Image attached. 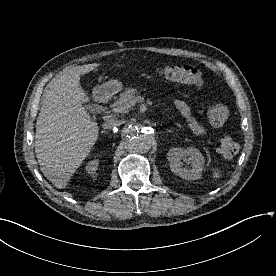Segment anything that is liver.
Here are the masks:
<instances>
[{
	"instance_id": "1",
	"label": "liver",
	"mask_w": 276,
	"mask_h": 276,
	"mask_svg": "<svg viewBox=\"0 0 276 276\" xmlns=\"http://www.w3.org/2000/svg\"><path fill=\"white\" fill-rule=\"evenodd\" d=\"M99 65L67 68L43 94L36 121L35 153L41 172L60 189L68 185L98 138V125L82 106L89 97L81 88L80 76Z\"/></svg>"
}]
</instances>
